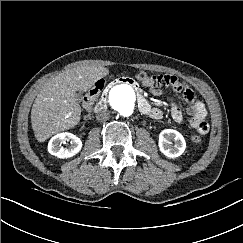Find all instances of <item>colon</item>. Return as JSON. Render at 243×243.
I'll list each match as a JSON object with an SVG mask.
<instances>
[{
  "instance_id": "5ec220e1",
  "label": "colon",
  "mask_w": 243,
  "mask_h": 243,
  "mask_svg": "<svg viewBox=\"0 0 243 243\" xmlns=\"http://www.w3.org/2000/svg\"><path fill=\"white\" fill-rule=\"evenodd\" d=\"M136 78L141 81L144 85L151 88H159L167 84V79L164 75H148L144 72L138 73ZM104 88V80H98L95 85L90 88L84 97L85 105L90 107L98 94ZM191 141L195 144L201 142V137L198 135H193Z\"/></svg>"
}]
</instances>
